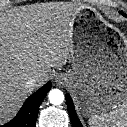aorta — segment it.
<instances>
[{
	"label": "aorta",
	"mask_w": 127,
	"mask_h": 127,
	"mask_svg": "<svg viewBox=\"0 0 127 127\" xmlns=\"http://www.w3.org/2000/svg\"><path fill=\"white\" fill-rule=\"evenodd\" d=\"M48 98L51 104L60 105L64 101V94L59 89H53L49 92Z\"/></svg>",
	"instance_id": "aorta-1"
}]
</instances>
